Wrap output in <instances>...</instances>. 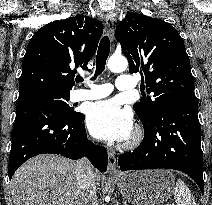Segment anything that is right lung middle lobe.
Listing matches in <instances>:
<instances>
[{"label":"right lung middle lobe","instance_id":"right-lung-middle-lobe-1","mask_svg":"<svg viewBox=\"0 0 212 205\" xmlns=\"http://www.w3.org/2000/svg\"><path fill=\"white\" fill-rule=\"evenodd\" d=\"M69 97H70L69 93L35 92L19 97L17 104L41 103L44 105L52 106L67 116L70 117L79 116L81 113L75 112L74 108L70 107L67 104Z\"/></svg>","mask_w":212,"mask_h":205}]
</instances>
